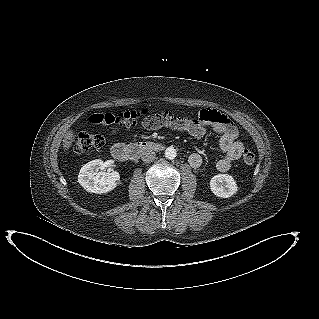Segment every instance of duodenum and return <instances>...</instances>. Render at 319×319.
Segmentation results:
<instances>
[{
    "mask_svg": "<svg viewBox=\"0 0 319 319\" xmlns=\"http://www.w3.org/2000/svg\"><path fill=\"white\" fill-rule=\"evenodd\" d=\"M163 148L162 144L152 141H139L125 145L115 144L111 147L110 153L113 159L118 162L126 163L138 159L143 154L159 151Z\"/></svg>",
    "mask_w": 319,
    "mask_h": 319,
    "instance_id": "obj_1",
    "label": "duodenum"
}]
</instances>
